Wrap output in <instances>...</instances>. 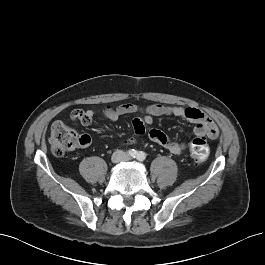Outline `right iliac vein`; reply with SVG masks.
Listing matches in <instances>:
<instances>
[{
    "label": "right iliac vein",
    "mask_w": 265,
    "mask_h": 265,
    "mask_svg": "<svg viewBox=\"0 0 265 265\" xmlns=\"http://www.w3.org/2000/svg\"><path fill=\"white\" fill-rule=\"evenodd\" d=\"M112 160H113L114 162L119 161V156H118V155H115V156L112 158Z\"/></svg>",
    "instance_id": "63e3f726"
}]
</instances>
